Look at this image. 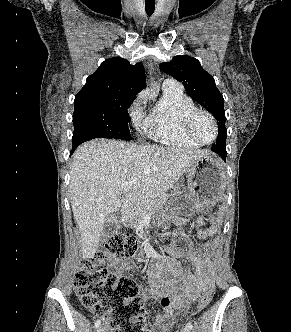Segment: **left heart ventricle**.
Returning <instances> with one entry per match:
<instances>
[{"mask_svg":"<svg viewBox=\"0 0 291 332\" xmlns=\"http://www.w3.org/2000/svg\"><path fill=\"white\" fill-rule=\"evenodd\" d=\"M193 132L200 140L205 142L211 141L215 134L212 122L203 114H199L195 117Z\"/></svg>","mask_w":291,"mask_h":332,"instance_id":"obj_1","label":"left heart ventricle"}]
</instances>
